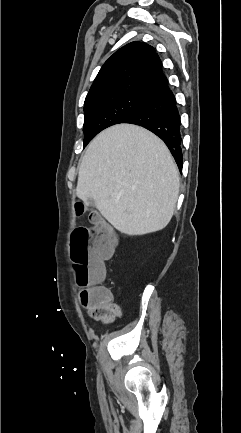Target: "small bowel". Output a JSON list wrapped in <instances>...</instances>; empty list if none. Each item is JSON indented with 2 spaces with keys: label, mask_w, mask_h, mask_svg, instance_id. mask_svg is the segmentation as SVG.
Segmentation results:
<instances>
[{
  "label": "small bowel",
  "mask_w": 241,
  "mask_h": 433,
  "mask_svg": "<svg viewBox=\"0 0 241 433\" xmlns=\"http://www.w3.org/2000/svg\"><path fill=\"white\" fill-rule=\"evenodd\" d=\"M105 289L108 291L109 296L97 304L89 306L88 313L95 320L107 325L113 323L117 317L122 316V309L114 302L111 292L107 288Z\"/></svg>",
  "instance_id": "small-bowel-1"
}]
</instances>
